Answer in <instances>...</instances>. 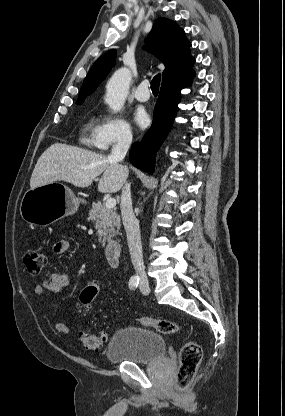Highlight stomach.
<instances>
[{
  "instance_id": "stomach-1",
  "label": "stomach",
  "mask_w": 285,
  "mask_h": 416,
  "mask_svg": "<svg viewBox=\"0 0 285 416\" xmlns=\"http://www.w3.org/2000/svg\"><path fill=\"white\" fill-rule=\"evenodd\" d=\"M79 204V198H75L67 186L53 182L27 190L22 198L20 214L27 224L49 226L61 218L75 214Z\"/></svg>"
}]
</instances>
